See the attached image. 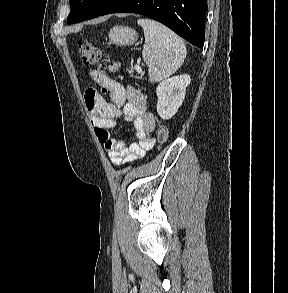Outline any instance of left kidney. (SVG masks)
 Returning <instances> with one entry per match:
<instances>
[{
  "mask_svg": "<svg viewBox=\"0 0 288 293\" xmlns=\"http://www.w3.org/2000/svg\"><path fill=\"white\" fill-rule=\"evenodd\" d=\"M190 82V76L184 74L165 79L159 83L156 88L157 113L162 119L168 120L176 114L184 101L186 87Z\"/></svg>",
  "mask_w": 288,
  "mask_h": 293,
  "instance_id": "1",
  "label": "left kidney"
}]
</instances>
